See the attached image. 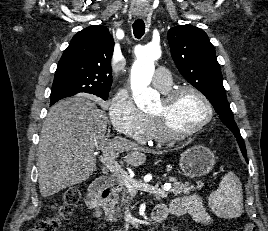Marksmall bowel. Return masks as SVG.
<instances>
[{
  "instance_id": "small-bowel-1",
  "label": "small bowel",
  "mask_w": 268,
  "mask_h": 231,
  "mask_svg": "<svg viewBox=\"0 0 268 231\" xmlns=\"http://www.w3.org/2000/svg\"><path fill=\"white\" fill-rule=\"evenodd\" d=\"M171 213L174 215H190L196 221L208 224L211 222V217L207 212L203 201L198 195L191 194L174 198L169 205L161 206L153 210L154 216L164 218Z\"/></svg>"
}]
</instances>
